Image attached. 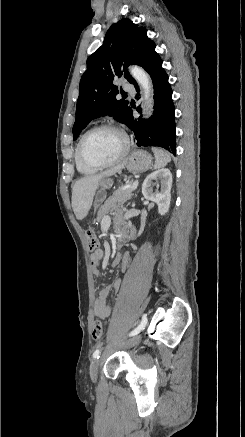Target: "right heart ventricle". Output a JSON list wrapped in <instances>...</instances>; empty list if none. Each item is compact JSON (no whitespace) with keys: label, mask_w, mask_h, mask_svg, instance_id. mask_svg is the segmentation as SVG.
Wrapping results in <instances>:
<instances>
[{"label":"right heart ventricle","mask_w":245,"mask_h":437,"mask_svg":"<svg viewBox=\"0 0 245 437\" xmlns=\"http://www.w3.org/2000/svg\"><path fill=\"white\" fill-rule=\"evenodd\" d=\"M74 162H75L76 169L80 174L91 175V174L96 173L98 170V169L90 167L82 162V160L80 159V157L78 155L77 147L75 149Z\"/></svg>","instance_id":"e07e8e85"}]
</instances>
